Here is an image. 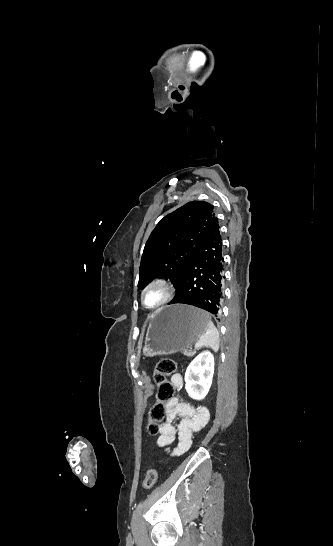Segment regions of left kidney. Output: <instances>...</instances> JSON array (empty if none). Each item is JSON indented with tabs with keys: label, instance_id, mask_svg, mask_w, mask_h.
Wrapping results in <instances>:
<instances>
[{
	"label": "left kidney",
	"instance_id": "5707ae66",
	"mask_svg": "<svg viewBox=\"0 0 333 546\" xmlns=\"http://www.w3.org/2000/svg\"><path fill=\"white\" fill-rule=\"evenodd\" d=\"M213 374V354L205 351L196 356L185 372V388L189 396L196 400L205 398L210 389Z\"/></svg>",
	"mask_w": 333,
	"mask_h": 546
}]
</instances>
